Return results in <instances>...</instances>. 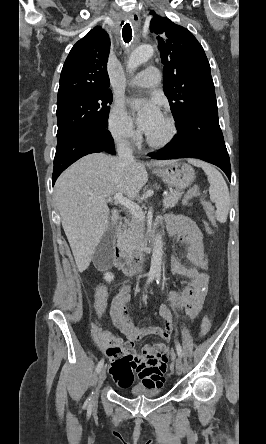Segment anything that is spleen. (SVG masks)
I'll return each mask as SVG.
<instances>
[{
  "instance_id": "spleen-1",
  "label": "spleen",
  "mask_w": 266,
  "mask_h": 444,
  "mask_svg": "<svg viewBox=\"0 0 266 444\" xmlns=\"http://www.w3.org/2000/svg\"><path fill=\"white\" fill-rule=\"evenodd\" d=\"M189 163L201 167L206 173L210 184V199L216 205V218L219 222L225 223L228 216L230 197L228 186L222 174L208 163L196 159H189Z\"/></svg>"
}]
</instances>
